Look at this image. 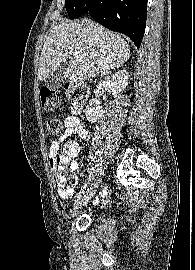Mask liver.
<instances>
[{"label":"liver","mask_w":195,"mask_h":270,"mask_svg":"<svg viewBox=\"0 0 195 270\" xmlns=\"http://www.w3.org/2000/svg\"><path fill=\"white\" fill-rule=\"evenodd\" d=\"M69 55L73 57L66 67L65 79L79 82L121 67L130 57V47L121 36L91 20L61 23L46 37L39 58L38 80L48 78Z\"/></svg>","instance_id":"6515ba94"}]
</instances>
